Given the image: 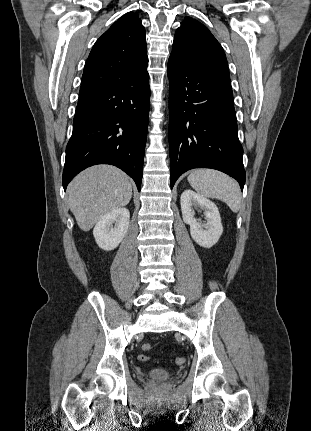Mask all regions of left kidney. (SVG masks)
Returning a JSON list of instances; mask_svg holds the SVG:
<instances>
[{
	"mask_svg": "<svg viewBox=\"0 0 311 431\" xmlns=\"http://www.w3.org/2000/svg\"><path fill=\"white\" fill-rule=\"evenodd\" d=\"M181 212L184 223H189L191 237L202 247H212L222 235L223 225L217 206L206 200L204 196L195 194L192 190H184L180 198ZM196 210H203L206 223L195 217Z\"/></svg>",
	"mask_w": 311,
	"mask_h": 431,
	"instance_id": "obj_1",
	"label": "left kidney"
}]
</instances>
